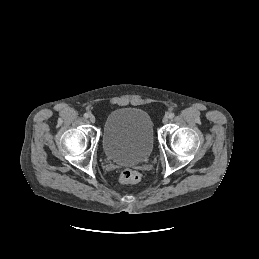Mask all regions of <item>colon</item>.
<instances>
[{"label":"colon","mask_w":259,"mask_h":259,"mask_svg":"<svg viewBox=\"0 0 259 259\" xmlns=\"http://www.w3.org/2000/svg\"><path fill=\"white\" fill-rule=\"evenodd\" d=\"M141 180V174L133 169H126L120 175L122 184H134Z\"/></svg>","instance_id":"5ec220e1"}]
</instances>
